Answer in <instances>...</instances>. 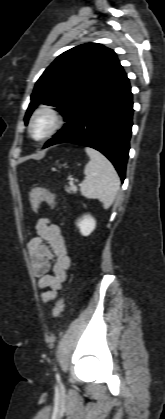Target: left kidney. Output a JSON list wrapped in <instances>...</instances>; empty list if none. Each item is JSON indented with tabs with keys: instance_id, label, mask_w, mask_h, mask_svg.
Masks as SVG:
<instances>
[{
	"instance_id": "1",
	"label": "left kidney",
	"mask_w": 165,
	"mask_h": 419,
	"mask_svg": "<svg viewBox=\"0 0 165 419\" xmlns=\"http://www.w3.org/2000/svg\"><path fill=\"white\" fill-rule=\"evenodd\" d=\"M77 226L83 236L90 235L96 227V221L92 216L84 215L82 219L77 222Z\"/></svg>"
}]
</instances>
